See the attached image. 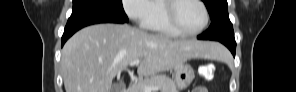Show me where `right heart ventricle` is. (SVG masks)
<instances>
[{
    "instance_id": "1",
    "label": "right heart ventricle",
    "mask_w": 296,
    "mask_h": 92,
    "mask_svg": "<svg viewBox=\"0 0 296 92\" xmlns=\"http://www.w3.org/2000/svg\"><path fill=\"white\" fill-rule=\"evenodd\" d=\"M152 8V17L144 26L147 30L171 37H176L180 35L175 32L166 21V1H152Z\"/></svg>"
}]
</instances>
